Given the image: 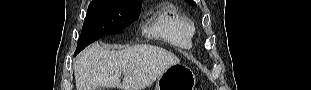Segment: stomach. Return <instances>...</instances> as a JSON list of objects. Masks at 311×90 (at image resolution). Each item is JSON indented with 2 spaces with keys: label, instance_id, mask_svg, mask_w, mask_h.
Returning <instances> with one entry per match:
<instances>
[{
  "label": "stomach",
  "instance_id": "1",
  "mask_svg": "<svg viewBox=\"0 0 311 90\" xmlns=\"http://www.w3.org/2000/svg\"><path fill=\"white\" fill-rule=\"evenodd\" d=\"M195 83L196 78L190 68L175 64L158 77L155 90H194Z\"/></svg>",
  "mask_w": 311,
  "mask_h": 90
}]
</instances>
